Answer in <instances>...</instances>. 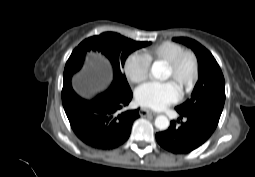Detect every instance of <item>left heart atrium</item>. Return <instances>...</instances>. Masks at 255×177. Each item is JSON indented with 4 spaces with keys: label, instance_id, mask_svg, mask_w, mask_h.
Returning a JSON list of instances; mask_svg holds the SVG:
<instances>
[{
    "label": "left heart atrium",
    "instance_id": "1",
    "mask_svg": "<svg viewBox=\"0 0 255 177\" xmlns=\"http://www.w3.org/2000/svg\"><path fill=\"white\" fill-rule=\"evenodd\" d=\"M135 98L143 107L162 110L178 101L179 90L173 82H148L136 90Z\"/></svg>",
    "mask_w": 255,
    "mask_h": 177
}]
</instances>
